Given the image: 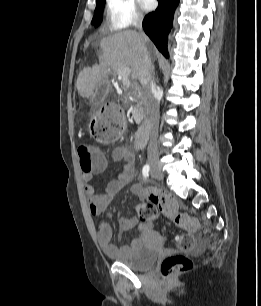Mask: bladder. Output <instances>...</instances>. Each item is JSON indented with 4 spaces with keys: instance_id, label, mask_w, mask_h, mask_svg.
<instances>
[{
    "instance_id": "obj_1",
    "label": "bladder",
    "mask_w": 261,
    "mask_h": 306,
    "mask_svg": "<svg viewBox=\"0 0 261 306\" xmlns=\"http://www.w3.org/2000/svg\"><path fill=\"white\" fill-rule=\"evenodd\" d=\"M161 250V239L158 234L151 233L147 237L138 238L131 247L129 255L115 257V261L132 270H146L156 262Z\"/></svg>"
}]
</instances>
